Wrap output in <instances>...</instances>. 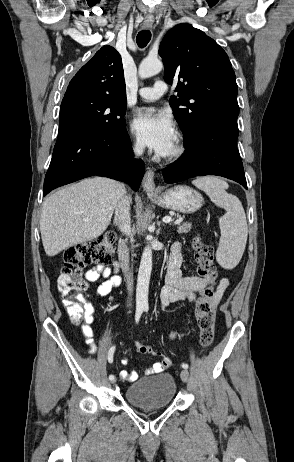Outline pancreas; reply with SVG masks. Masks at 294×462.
Instances as JSON below:
<instances>
[{
	"mask_svg": "<svg viewBox=\"0 0 294 462\" xmlns=\"http://www.w3.org/2000/svg\"><path fill=\"white\" fill-rule=\"evenodd\" d=\"M178 218H180V216H177ZM191 229V224L187 223V222H184L182 224H179L178 226V232L179 233H188Z\"/></svg>",
	"mask_w": 294,
	"mask_h": 462,
	"instance_id": "cf45deb5",
	"label": "pancreas"
}]
</instances>
